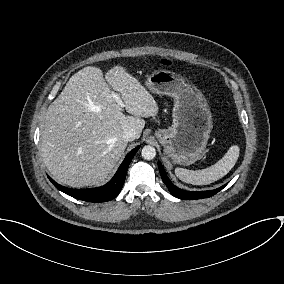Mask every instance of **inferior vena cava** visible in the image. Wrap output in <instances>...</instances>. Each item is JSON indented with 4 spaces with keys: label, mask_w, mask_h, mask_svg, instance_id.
<instances>
[{
    "label": "inferior vena cava",
    "mask_w": 284,
    "mask_h": 284,
    "mask_svg": "<svg viewBox=\"0 0 284 284\" xmlns=\"http://www.w3.org/2000/svg\"><path fill=\"white\" fill-rule=\"evenodd\" d=\"M122 137L126 141H133L136 138V132L132 128L125 129Z\"/></svg>",
    "instance_id": "602c4592"
}]
</instances>
